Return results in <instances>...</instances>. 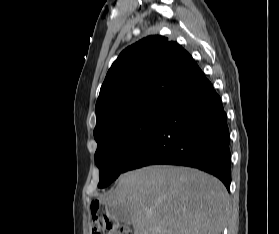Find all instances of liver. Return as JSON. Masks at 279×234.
<instances>
[{"label": "liver", "instance_id": "obj_1", "mask_svg": "<svg viewBox=\"0 0 279 234\" xmlns=\"http://www.w3.org/2000/svg\"><path fill=\"white\" fill-rule=\"evenodd\" d=\"M101 201L127 209L134 234H221L229 217L223 183L187 167L155 165L124 173Z\"/></svg>", "mask_w": 279, "mask_h": 234}]
</instances>
